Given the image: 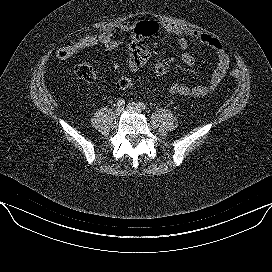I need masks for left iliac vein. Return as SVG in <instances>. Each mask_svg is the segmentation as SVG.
<instances>
[{"label":"left iliac vein","mask_w":272,"mask_h":272,"mask_svg":"<svg viewBox=\"0 0 272 272\" xmlns=\"http://www.w3.org/2000/svg\"><path fill=\"white\" fill-rule=\"evenodd\" d=\"M126 108L128 111L135 112V113H141L142 111V108L140 107V105L134 102L128 103Z\"/></svg>","instance_id":"1"}]
</instances>
